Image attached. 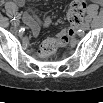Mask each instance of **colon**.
<instances>
[{
    "label": "colon",
    "mask_w": 103,
    "mask_h": 103,
    "mask_svg": "<svg viewBox=\"0 0 103 103\" xmlns=\"http://www.w3.org/2000/svg\"><path fill=\"white\" fill-rule=\"evenodd\" d=\"M86 11V3L82 0L73 1L70 5L68 17L70 21V28L63 31L55 38H48L44 40L40 46L39 55L46 58L52 55L58 48L65 47L70 40L76 35L78 29L83 22Z\"/></svg>",
    "instance_id": "1"
}]
</instances>
